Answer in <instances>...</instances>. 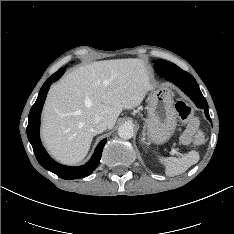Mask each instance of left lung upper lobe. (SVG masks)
I'll return each mask as SVG.
<instances>
[{
  "mask_svg": "<svg viewBox=\"0 0 234 234\" xmlns=\"http://www.w3.org/2000/svg\"><path fill=\"white\" fill-rule=\"evenodd\" d=\"M153 62L155 63L154 68L156 72H158L161 77L166 74H176L182 71V69H180L177 65L169 61L155 60Z\"/></svg>",
  "mask_w": 234,
  "mask_h": 234,
  "instance_id": "obj_1",
  "label": "left lung upper lobe"
}]
</instances>
